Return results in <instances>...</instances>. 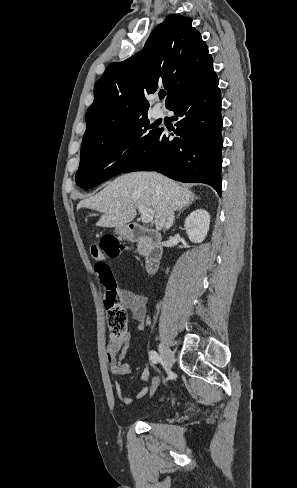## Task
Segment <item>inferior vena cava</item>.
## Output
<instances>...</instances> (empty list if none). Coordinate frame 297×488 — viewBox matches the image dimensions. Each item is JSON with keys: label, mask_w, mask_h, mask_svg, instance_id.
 <instances>
[{"label": "inferior vena cava", "mask_w": 297, "mask_h": 488, "mask_svg": "<svg viewBox=\"0 0 297 488\" xmlns=\"http://www.w3.org/2000/svg\"><path fill=\"white\" fill-rule=\"evenodd\" d=\"M174 212L171 211L169 214H168V217H167V220L165 222V228L166 229H169L172 225H173V222H174Z\"/></svg>", "instance_id": "1"}]
</instances>
